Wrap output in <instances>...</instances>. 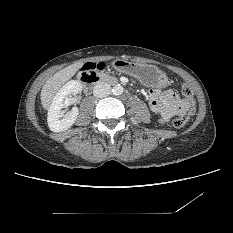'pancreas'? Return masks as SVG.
Here are the masks:
<instances>
[{
    "mask_svg": "<svg viewBox=\"0 0 233 233\" xmlns=\"http://www.w3.org/2000/svg\"><path fill=\"white\" fill-rule=\"evenodd\" d=\"M107 77H108V75L102 74V78H107Z\"/></svg>",
    "mask_w": 233,
    "mask_h": 233,
    "instance_id": "1",
    "label": "pancreas"
}]
</instances>
